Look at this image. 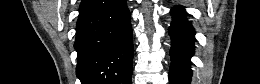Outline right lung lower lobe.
<instances>
[{"label":"right lung lower lobe","instance_id":"right-lung-lower-lobe-1","mask_svg":"<svg viewBox=\"0 0 260 84\" xmlns=\"http://www.w3.org/2000/svg\"><path fill=\"white\" fill-rule=\"evenodd\" d=\"M130 18L126 0H82L74 44L81 84H131Z\"/></svg>","mask_w":260,"mask_h":84}]
</instances>
